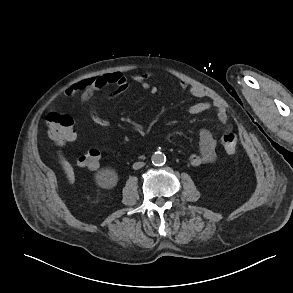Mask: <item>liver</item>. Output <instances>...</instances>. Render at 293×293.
<instances>
[{"label": "liver", "instance_id": "obj_1", "mask_svg": "<svg viewBox=\"0 0 293 293\" xmlns=\"http://www.w3.org/2000/svg\"><path fill=\"white\" fill-rule=\"evenodd\" d=\"M62 164H63V168L67 174V177L70 181V183H74L75 181V176H74V171H73V168L71 167V165L69 164V162L63 160L62 161Z\"/></svg>", "mask_w": 293, "mask_h": 293}]
</instances>
